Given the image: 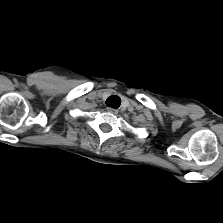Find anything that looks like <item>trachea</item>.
<instances>
[{
	"instance_id": "1",
	"label": "trachea",
	"mask_w": 223,
	"mask_h": 223,
	"mask_svg": "<svg viewBox=\"0 0 223 223\" xmlns=\"http://www.w3.org/2000/svg\"><path fill=\"white\" fill-rule=\"evenodd\" d=\"M121 104V99L117 95H112L108 97L106 100V105L115 109H118V107Z\"/></svg>"
}]
</instances>
